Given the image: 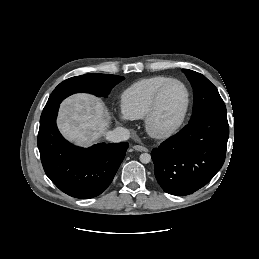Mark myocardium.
<instances>
[{
  "label": "myocardium",
  "mask_w": 259,
  "mask_h": 259,
  "mask_svg": "<svg viewBox=\"0 0 259 259\" xmlns=\"http://www.w3.org/2000/svg\"><path fill=\"white\" fill-rule=\"evenodd\" d=\"M171 83H179L180 85L183 86L185 93H186V102L184 109L179 117V119L170 127L165 128V129H159L155 126L154 120L156 117V114L158 112L159 104H160V98L162 95L163 90ZM191 104V93L188 88V86L180 79L177 78H169L165 82H163L155 91L154 96L152 98L151 105L144 117V126L146 129V132L153 138L156 139H165L170 136H172L174 133H176L179 128L182 126L184 123L189 108Z\"/></svg>",
  "instance_id": "1"
}]
</instances>
